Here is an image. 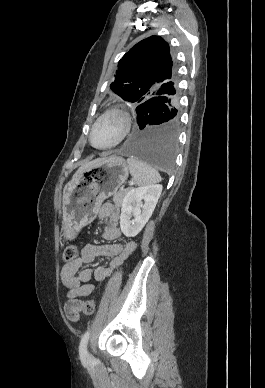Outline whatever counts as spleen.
<instances>
[{"label":"spleen","mask_w":265,"mask_h":388,"mask_svg":"<svg viewBox=\"0 0 265 388\" xmlns=\"http://www.w3.org/2000/svg\"><path fill=\"white\" fill-rule=\"evenodd\" d=\"M129 172L137 186H150V184H158L161 182V176L157 170L151 168L150 164L144 160H138L130 156L127 160Z\"/></svg>","instance_id":"3e777b00"}]
</instances>
